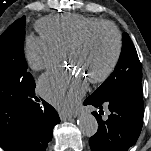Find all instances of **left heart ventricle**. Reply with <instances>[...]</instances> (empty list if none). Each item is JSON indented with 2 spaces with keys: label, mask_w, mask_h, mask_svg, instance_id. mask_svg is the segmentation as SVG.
Returning <instances> with one entry per match:
<instances>
[{
  "label": "left heart ventricle",
  "mask_w": 151,
  "mask_h": 151,
  "mask_svg": "<svg viewBox=\"0 0 151 151\" xmlns=\"http://www.w3.org/2000/svg\"><path fill=\"white\" fill-rule=\"evenodd\" d=\"M114 37L110 30L94 32L84 46L69 55L68 61L91 79L102 73L109 65L114 54Z\"/></svg>",
  "instance_id": "left-heart-ventricle-1"
}]
</instances>
